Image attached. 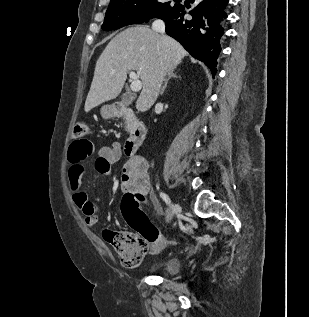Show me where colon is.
Returning a JSON list of instances; mask_svg holds the SVG:
<instances>
[{
    "mask_svg": "<svg viewBox=\"0 0 309 317\" xmlns=\"http://www.w3.org/2000/svg\"><path fill=\"white\" fill-rule=\"evenodd\" d=\"M89 127L84 122H78L73 129V141L70 146L68 159L76 160L80 154L75 150L82 142H88V152L93 145L86 136ZM142 197L140 194L126 193L122 199L123 216L134 232L108 231L106 239L112 245L123 266L134 268L138 266L149 247H163L174 242L168 240L149 220L140 208Z\"/></svg>",
    "mask_w": 309,
    "mask_h": 317,
    "instance_id": "obj_1",
    "label": "colon"
}]
</instances>
